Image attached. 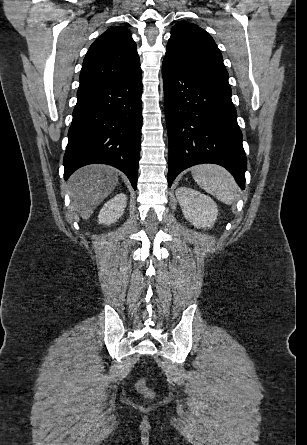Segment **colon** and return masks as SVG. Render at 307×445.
<instances>
[{"instance_id":"5ec220e1","label":"colon","mask_w":307,"mask_h":445,"mask_svg":"<svg viewBox=\"0 0 307 445\" xmlns=\"http://www.w3.org/2000/svg\"><path fill=\"white\" fill-rule=\"evenodd\" d=\"M136 388H137L138 392H140L141 394H143L145 396L152 395L151 390L146 386V384L143 380H140L137 382Z\"/></svg>"}]
</instances>
